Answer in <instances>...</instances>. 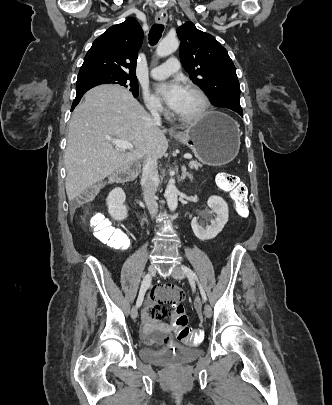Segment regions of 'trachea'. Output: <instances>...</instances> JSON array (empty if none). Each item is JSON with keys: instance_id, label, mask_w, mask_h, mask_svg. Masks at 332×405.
I'll return each mask as SVG.
<instances>
[{"instance_id": "obj_1", "label": "trachea", "mask_w": 332, "mask_h": 405, "mask_svg": "<svg viewBox=\"0 0 332 405\" xmlns=\"http://www.w3.org/2000/svg\"><path fill=\"white\" fill-rule=\"evenodd\" d=\"M164 30V25L162 24H154L149 32V44L154 46L157 44L159 39L161 38L162 32Z\"/></svg>"}]
</instances>
